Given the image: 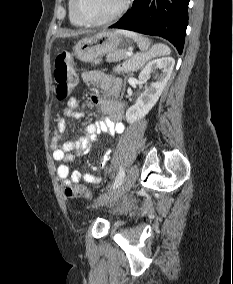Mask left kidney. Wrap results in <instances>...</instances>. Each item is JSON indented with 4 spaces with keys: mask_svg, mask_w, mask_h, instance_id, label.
Segmentation results:
<instances>
[{
    "mask_svg": "<svg viewBox=\"0 0 233 284\" xmlns=\"http://www.w3.org/2000/svg\"><path fill=\"white\" fill-rule=\"evenodd\" d=\"M175 60L172 57H162L154 59L142 69L139 74V80L143 83L151 74H155V80L143 93L138 97L136 103L126 111V120L128 123L134 122L145 117L154 107L161 96L168 80L171 77Z\"/></svg>",
    "mask_w": 233,
    "mask_h": 284,
    "instance_id": "obj_1",
    "label": "left kidney"
}]
</instances>
